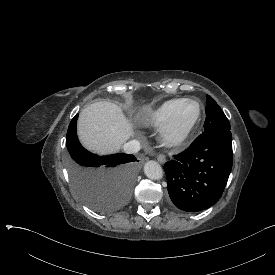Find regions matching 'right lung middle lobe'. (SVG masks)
I'll list each match as a JSON object with an SVG mask.
<instances>
[{
	"label": "right lung middle lobe",
	"instance_id": "obj_1",
	"mask_svg": "<svg viewBox=\"0 0 275 275\" xmlns=\"http://www.w3.org/2000/svg\"><path fill=\"white\" fill-rule=\"evenodd\" d=\"M77 119L78 114L70 122L66 136L73 191L96 212L112 213L129 200L138 177L139 160L130 154L98 156L87 151L77 137Z\"/></svg>",
	"mask_w": 275,
	"mask_h": 275
}]
</instances>
